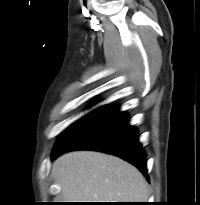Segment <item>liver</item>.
<instances>
[{
  "label": "liver",
  "instance_id": "1",
  "mask_svg": "<svg viewBox=\"0 0 200 205\" xmlns=\"http://www.w3.org/2000/svg\"><path fill=\"white\" fill-rule=\"evenodd\" d=\"M52 176L68 202H146L148 186L143 175L126 161L100 152L63 154ZM82 200V201H81Z\"/></svg>",
  "mask_w": 200,
  "mask_h": 205
}]
</instances>
